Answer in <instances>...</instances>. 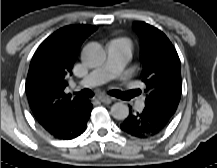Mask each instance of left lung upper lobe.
<instances>
[{"label":"left lung upper lobe","instance_id":"left-lung-upper-lobe-1","mask_svg":"<svg viewBox=\"0 0 217 168\" xmlns=\"http://www.w3.org/2000/svg\"><path fill=\"white\" fill-rule=\"evenodd\" d=\"M142 47V81L147 93L145 106L173 116L181 93V66L176 49L159 29L141 21L134 23Z\"/></svg>","mask_w":217,"mask_h":168}]
</instances>
